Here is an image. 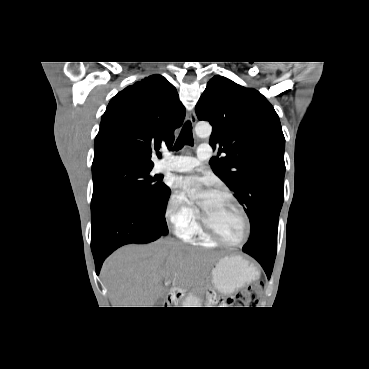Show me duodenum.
Here are the masks:
<instances>
[{"label":"duodenum","instance_id":"410a0bca","mask_svg":"<svg viewBox=\"0 0 369 369\" xmlns=\"http://www.w3.org/2000/svg\"><path fill=\"white\" fill-rule=\"evenodd\" d=\"M175 297H176V295L174 294V292H171V293H170V298H171V300H174V299H175Z\"/></svg>","mask_w":369,"mask_h":369}]
</instances>
